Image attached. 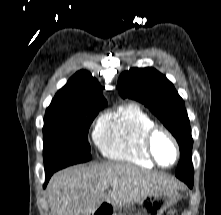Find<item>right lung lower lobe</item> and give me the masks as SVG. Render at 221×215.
<instances>
[{
	"label": "right lung lower lobe",
	"instance_id": "obj_1",
	"mask_svg": "<svg viewBox=\"0 0 221 215\" xmlns=\"http://www.w3.org/2000/svg\"><path fill=\"white\" fill-rule=\"evenodd\" d=\"M52 175H53V173H46V182L44 184V187L46 186L47 182L49 181V179Z\"/></svg>",
	"mask_w": 221,
	"mask_h": 215
}]
</instances>
